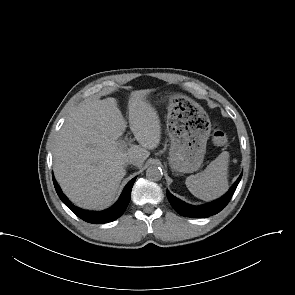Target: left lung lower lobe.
I'll return each instance as SVG.
<instances>
[{"label": "left lung lower lobe", "mask_w": 295, "mask_h": 295, "mask_svg": "<svg viewBox=\"0 0 295 295\" xmlns=\"http://www.w3.org/2000/svg\"><path fill=\"white\" fill-rule=\"evenodd\" d=\"M242 174L239 176L237 181L234 185L230 188V190L221 198L202 205V206H193L189 205L178 198L174 197L168 190H167V198L172 205V207L182 216L185 217H192V218H207L211 215L217 214L220 212L230 201L231 197L233 196L240 180Z\"/></svg>", "instance_id": "1"}]
</instances>
